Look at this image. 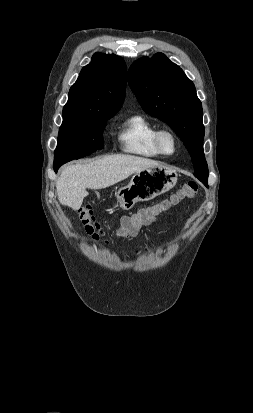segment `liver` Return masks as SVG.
<instances>
[{"label": "liver", "mask_w": 253, "mask_h": 413, "mask_svg": "<svg viewBox=\"0 0 253 413\" xmlns=\"http://www.w3.org/2000/svg\"><path fill=\"white\" fill-rule=\"evenodd\" d=\"M162 166L160 163L131 155H111L64 168L56 181L58 200L78 210L88 195L86 188L98 190L114 185L130 175Z\"/></svg>", "instance_id": "1"}]
</instances>
